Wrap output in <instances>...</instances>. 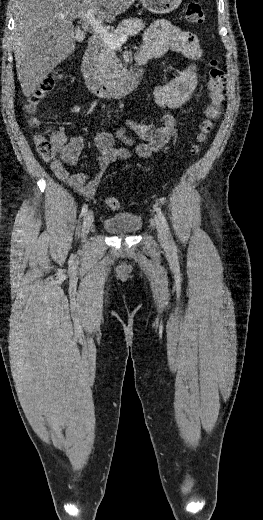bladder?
I'll return each instance as SVG.
<instances>
[{
    "label": "bladder",
    "mask_w": 263,
    "mask_h": 520,
    "mask_svg": "<svg viewBox=\"0 0 263 520\" xmlns=\"http://www.w3.org/2000/svg\"><path fill=\"white\" fill-rule=\"evenodd\" d=\"M143 226L142 217L136 213H119L105 218L102 228L116 235H129L138 232Z\"/></svg>",
    "instance_id": "obj_1"
}]
</instances>
